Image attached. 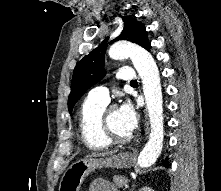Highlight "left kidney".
Returning <instances> with one entry per match:
<instances>
[{"label": "left kidney", "mask_w": 221, "mask_h": 191, "mask_svg": "<svg viewBox=\"0 0 221 191\" xmlns=\"http://www.w3.org/2000/svg\"><path fill=\"white\" fill-rule=\"evenodd\" d=\"M139 191H154V190L151 189L150 187L145 186V187L141 188Z\"/></svg>", "instance_id": "1"}]
</instances>
